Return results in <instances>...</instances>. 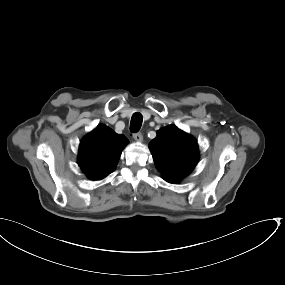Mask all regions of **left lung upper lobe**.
<instances>
[{"label": "left lung upper lobe", "mask_w": 285, "mask_h": 285, "mask_svg": "<svg viewBox=\"0 0 285 285\" xmlns=\"http://www.w3.org/2000/svg\"><path fill=\"white\" fill-rule=\"evenodd\" d=\"M149 149L163 179L174 184L192 172L199 158L196 140L174 125L158 130Z\"/></svg>", "instance_id": "obj_1"}]
</instances>
